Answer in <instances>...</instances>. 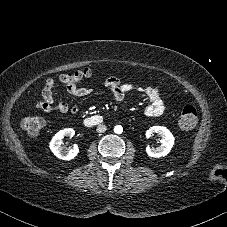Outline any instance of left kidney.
<instances>
[{
    "label": "left kidney",
    "mask_w": 227,
    "mask_h": 227,
    "mask_svg": "<svg viewBox=\"0 0 227 227\" xmlns=\"http://www.w3.org/2000/svg\"><path fill=\"white\" fill-rule=\"evenodd\" d=\"M157 133L161 136V145L157 148H152L150 146L146 147V152L148 156L154 158H160L166 156L172 149L174 145V136L173 134L163 126H153L146 131V137L149 138L150 136Z\"/></svg>",
    "instance_id": "1"
}]
</instances>
